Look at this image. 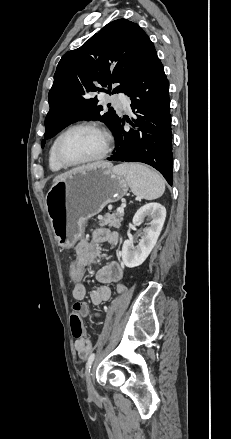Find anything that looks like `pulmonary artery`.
Segmentation results:
<instances>
[{
    "instance_id": "obj_1",
    "label": "pulmonary artery",
    "mask_w": 231,
    "mask_h": 439,
    "mask_svg": "<svg viewBox=\"0 0 231 439\" xmlns=\"http://www.w3.org/2000/svg\"><path fill=\"white\" fill-rule=\"evenodd\" d=\"M115 103L120 108L129 109V99L123 93H119L115 96Z\"/></svg>"
}]
</instances>
